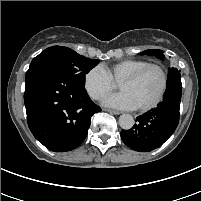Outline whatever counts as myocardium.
Here are the masks:
<instances>
[{"mask_svg":"<svg viewBox=\"0 0 201 201\" xmlns=\"http://www.w3.org/2000/svg\"><path fill=\"white\" fill-rule=\"evenodd\" d=\"M149 69H157L159 71L161 78H162V84H161V88H160L157 96L150 103L136 107V109L139 111L150 110V109L156 107L163 99V97L167 91L168 81H169L166 69L160 64L149 63V64L139 68L138 70L134 71L133 73L129 74L128 76H126L119 82V86L122 84H125V83L134 82Z\"/></svg>","mask_w":201,"mask_h":201,"instance_id":"obj_1","label":"myocardium"}]
</instances>
